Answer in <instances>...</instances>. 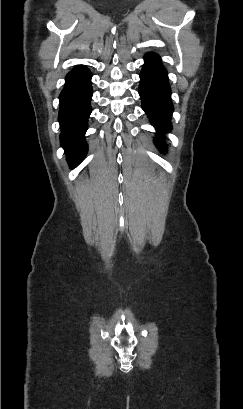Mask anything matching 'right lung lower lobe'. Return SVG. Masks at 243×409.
Wrapping results in <instances>:
<instances>
[{"label": "right lung lower lobe", "mask_w": 243, "mask_h": 409, "mask_svg": "<svg viewBox=\"0 0 243 409\" xmlns=\"http://www.w3.org/2000/svg\"><path fill=\"white\" fill-rule=\"evenodd\" d=\"M91 72L85 66H78L66 76L60 100L59 122L60 142L71 168H75L87 153L85 132L91 109Z\"/></svg>", "instance_id": "right-lung-lower-lobe-1"}]
</instances>
